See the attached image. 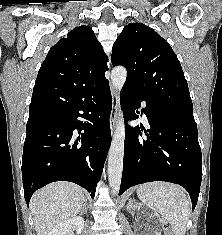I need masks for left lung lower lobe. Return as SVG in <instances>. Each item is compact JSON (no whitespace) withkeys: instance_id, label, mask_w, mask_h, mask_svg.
Returning <instances> with one entry per match:
<instances>
[{"instance_id":"left-lung-lower-lobe-1","label":"left lung lower lobe","mask_w":222,"mask_h":235,"mask_svg":"<svg viewBox=\"0 0 222 235\" xmlns=\"http://www.w3.org/2000/svg\"><path fill=\"white\" fill-rule=\"evenodd\" d=\"M142 110L149 122L146 136L139 126H126L123 174L119 195L128 188L151 181H166L184 187L190 194L193 209L200 192L202 157L194 117L147 101L138 91L124 85L121 105L125 121L138 118ZM142 129V127H141Z\"/></svg>"}]
</instances>
